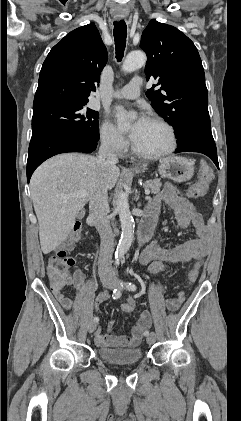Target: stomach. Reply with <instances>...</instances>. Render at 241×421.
Segmentation results:
<instances>
[{
    "instance_id": "stomach-1",
    "label": "stomach",
    "mask_w": 241,
    "mask_h": 421,
    "mask_svg": "<svg viewBox=\"0 0 241 421\" xmlns=\"http://www.w3.org/2000/svg\"><path fill=\"white\" fill-rule=\"evenodd\" d=\"M159 173L162 177L171 179L176 182L187 181L194 174V164L187 158L181 156H169L162 159L158 166ZM140 173V170H134Z\"/></svg>"
}]
</instances>
